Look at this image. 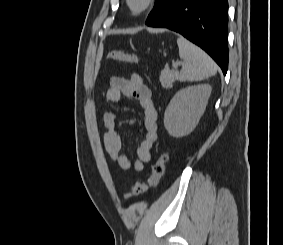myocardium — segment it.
<instances>
[{
    "mask_svg": "<svg viewBox=\"0 0 283 245\" xmlns=\"http://www.w3.org/2000/svg\"><path fill=\"white\" fill-rule=\"evenodd\" d=\"M155 2L156 0H142L141 4L138 7H135L134 0H125L128 11L134 16L146 13L155 5Z\"/></svg>",
    "mask_w": 283,
    "mask_h": 245,
    "instance_id": "myocardium-1",
    "label": "myocardium"
}]
</instances>
